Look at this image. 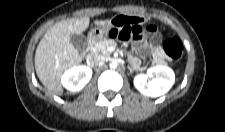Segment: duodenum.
Returning <instances> with one entry per match:
<instances>
[{
    "instance_id": "duodenum-1",
    "label": "duodenum",
    "mask_w": 225,
    "mask_h": 132,
    "mask_svg": "<svg viewBox=\"0 0 225 132\" xmlns=\"http://www.w3.org/2000/svg\"><path fill=\"white\" fill-rule=\"evenodd\" d=\"M93 44H94V40H93V39H90V40L88 41V51L91 50Z\"/></svg>"
}]
</instances>
